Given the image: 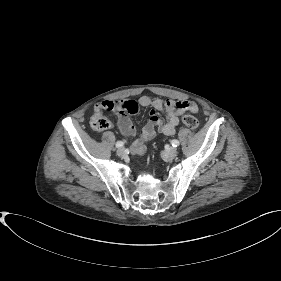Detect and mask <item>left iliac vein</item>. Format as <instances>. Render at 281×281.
Segmentation results:
<instances>
[{
	"instance_id": "1",
	"label": "left iliac vein",
	"mask_w": 281,
	"mask_h": 281,
	"mask_svg": "<svg viewBox=\"0 0 281 281\" xmlns=\"http://www.w3.org/2000/svg\"><path fill=\"white\" fill-rule=\"evenodd\" d=\"M177 154H178L177 149L174 147H171L170 149H168L164 152V157L168 160H172L177 156Z\"/></svg>"
}]
</instances>
